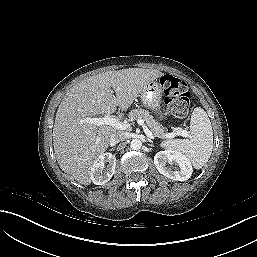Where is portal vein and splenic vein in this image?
Returning <instances> with one entry per match:
<instances>
[{"label":"portal vein and splenic vein","mask_w":257,"mask_h":257,"mask_svg":"<svg viewBox=\"0 0 257 257\" xmlns=\"http://www.w3.org/2000/svg\"><path fill=\"white\" fill-rule=\"evenodd\" d=\"M84 122L91 123V124H94L96 126L110 125L112 127L120 129V130H126L127 128L130 127L129 123H127V124L123 123V122L117 120L116 118H113L109 113L105 114L104 117H99V118L98 117H95V118L86 117L84 119ZM137 122L140 126H142L143 131L145 132L147 137H149L151 139H154V135L148 129V127L145 125L144 120L143 119H138ZM175 135H181L183 137H188L189 136V134L186 130L178 129L176 132L166 133V138H173Z\"/></svg>","instance_id":"portal-vein-and-splenic-vein-1"}]
</instances>
